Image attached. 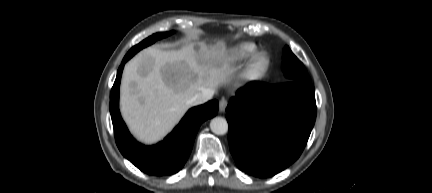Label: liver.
Instances as JSON below:
<instances>
[{
	"label": "liver",
	"instance_id": "obj_1",
	"mask_svg": "<svg viewBox=\"0 0 432 193\" xmlns=\"http://www.w3.org/2000/svg\"><path fill=\"white\" fill-rule=\"evenodd\" d=\"M231 62L222 40L142 50L125 65L121 81L120 108L130 132L147 144L162 139L190 108V98L226 79Z\"/></svg>",
	"mask_w": 432,
	"mask_h": 193
}]
</instances>
